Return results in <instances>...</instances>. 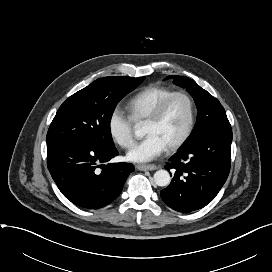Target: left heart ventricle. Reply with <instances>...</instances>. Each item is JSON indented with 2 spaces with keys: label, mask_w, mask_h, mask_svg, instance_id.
Returning a JSON list of instances; mask_svg holds the SVG:
<instances>
[{
  "label": "left heart ventricle",
  "mask_w": 272,
  "mask_h": 272,
  "mask_svg": "<svg viewBox=\"0 0 272 272\" xmlns=\"http://www.w3.org/2000/svg\"><path fill=\"white\" fill-rule=\"evenodd\" d=\"M188 122V104L182 97L174 98L163 117L155 123H146V135L158 136L167 147L175 143L184 133Z\"/></svg>",
  "instance_id": "b2bd125f"
}]
</instances>
